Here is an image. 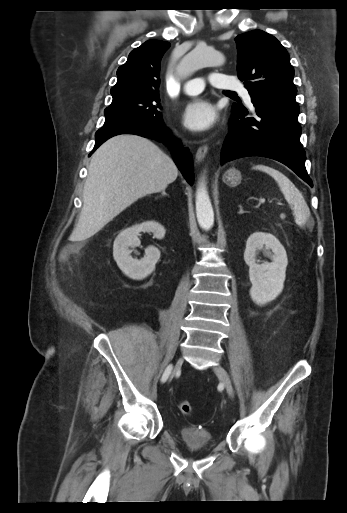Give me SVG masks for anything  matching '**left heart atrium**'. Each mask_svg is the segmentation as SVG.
Wrapping results in <instances>:
<instances>
[{
  "label": "left heart atrium",
  "mask_w": 347,
  "mask_h": 513,
  "mask_svg": "<svg viewBox=\"0 0 347 513\" xmlns=\"http://www.w3.org/2000/svg\"><path fill=\"white\" fill-rule=\"evenodd\" d=\"M182 120L184 125L192 131H206L215 123L216 111L207 99L195 98L185 106Z\"/></svg>",
  "instance_id": "1"
}]
</instances>
